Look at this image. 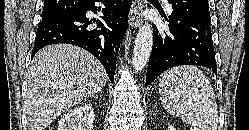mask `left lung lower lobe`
<instances>
[{
	"mask_svg": "<svg viewBox=\"0 0 249 130\" xmlns=\"http://www.w3.org/2000/svg\"><path fill=\"white\" fill-rule=\"evenodd\" d=\"M166 20L169 32L158 31L153 26L154 41L145 86L178 65L205 66L217 75L210 23L175 11Z\"/></svg>",
	"mask_w": 249,
	"mask_h": 130,
	"instance_id": "obj_1",
	"label": "left lung lower lobe"
}]
</instances>
